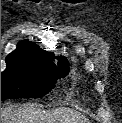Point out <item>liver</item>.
Segmentation results:
<instances>
[{"mask_svg":"<svg viewBox=\"0 0 122 123\" xmlns=\"http://www.w3.org/2000/svg\"><path fill=\"white\" fill-rule=\"evenodd\" d=\"M5 118L7 123H89L83 115L71 109L45 111L34 105H10Z\"/></svg>","mask_w":122,"mask_h":123,"instance_id":"1","label":"liver"}]
</instances>
